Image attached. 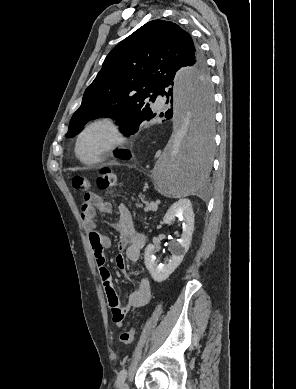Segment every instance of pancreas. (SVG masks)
Here are the masks:
<instances>
[{
	"instance_id": "1",
	"label": "pancreas",
	"mask_w": 296,
	"mask_h": 389,
	"mask_svg": "<svg viewBox=\"0 0 296 389\" xmlns=\"http://www.w3.org/2000/svg\"><path fill=\"white\" fill-rule=\"evenodd\" d=\"M147 210H152V209L150 208V205L147 207Z\"/></svg>"
}]
</instances>
